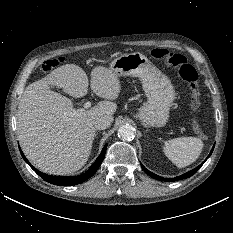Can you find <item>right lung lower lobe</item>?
Masks as SVG:
<instances>
[{
    "label": "right lung lower lobe",
    "instance_id": "obj_1",
    "mask_svg": "<svg viewBox=\"0 0 233 233\" xmlns=\"http://www.w3.org/2000/svg\"><path fill=\"white\" fill-rule=\"evenodd\" d=\"M106 147L107 144L104 146L101 154L99 155V157L96 159V161L94 162V164L82 175L80 176H76V177H62V176H50L47 174H44L40 171H38L36 168H34L29 161L26 159V157L24 156V154L21 152V155L23 157V159L31 166V168L38 174L40 175L45 181L55 184V185H59V186H70V185H77L79 183L84 182L85 180H87L88 178H90L99 168V166L101 165L105 152H106Z\"/></svg>",
    "mask_w": 233,
    "mask_h": 233
}]
</instances>
